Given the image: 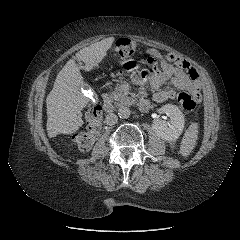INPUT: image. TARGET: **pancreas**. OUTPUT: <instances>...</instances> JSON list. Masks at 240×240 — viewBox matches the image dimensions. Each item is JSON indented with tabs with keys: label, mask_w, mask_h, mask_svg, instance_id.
Wrapping results in <instances>:
<instances>
[{
	"label": "pancreas",
	"mask_w": 240,
	"mask_h": 240,
	"mask_svg": "<svg viewBox=\"0 0 240 240\" xmlns=\"http://www.w3.org/2000/svg\"><path fill=\"white\" fill-rule=\"evenodd\" d=\"M130 98L123 93L120 87H116L115 90L105 99V103H113L115 106L127 104Z\"/></svg>",
	"instance_id": "obj_1"
}]
</instances>
